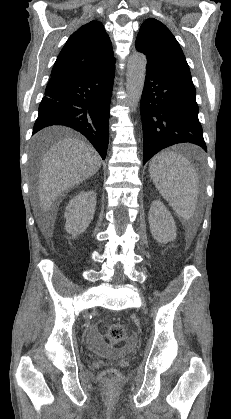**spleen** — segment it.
<instances>
[{
    "label": "spleen",
    "instance_id": "spleen-1",
    "mask_svg": "<svg viewBox=\"0 0 231 419\" xmlns=\"http://www.w3.org/2000/svg\"><path fill=\"white\" fill-rule=\"evenodd\" d=\"M150 177L162 197L184 220L194 215L199 192L198 174L184 156L163 151L149 165Z\"/></svg>",
    "mask_w": 231,
    "mask_h": 419
}]
</instances>
